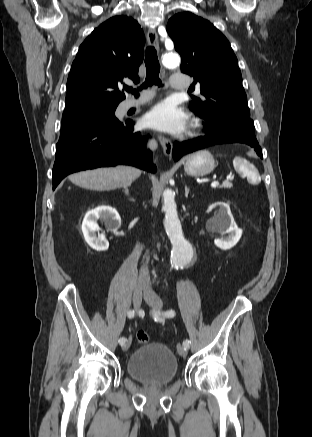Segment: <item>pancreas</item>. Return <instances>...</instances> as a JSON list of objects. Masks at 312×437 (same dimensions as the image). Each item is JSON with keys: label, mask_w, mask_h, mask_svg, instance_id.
<instances>
[{"label": "pancreas", "mask_w": 312, "mask_h": 437, "mask_svg": "<svg viewBox=\"0 0 312 437\" xmlns=\"http://www.w3.org/2000/svg\"><path fill=\"white\" fill-rule=\"evenodd\" d=\"M232 183L230 182V181H225L223 184H222V186H221V188H226V189H230V188H232Z\"/></svg>", "instance_id": "pancreas-1"}]
</instances>
